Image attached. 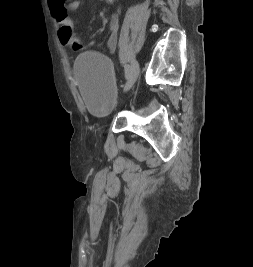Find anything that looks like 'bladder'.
Returning <instances> with one entry per match:
<instances>
[{"instance_id":"bladder-1","label":"bladder","mask_w":253,"mask_h":267,"mask_svg":"<svg viewBox=\"0 0 253 267\" xmlns=\"http://www.w3.org/2000/svg\"><path fill=\"white\" fill-rule=\"evenodd\" d=\"M73 74L89 113L98 119L110 117L118 107L110 60L98 52L81 53L75 60Z\"/></svg>"}]
</instances>
